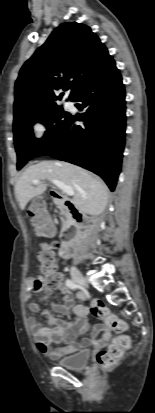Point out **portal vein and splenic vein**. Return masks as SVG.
Instances as JSON below:
<instances>
[{"mask_svg": "<svg viewBox=\"0 0 155 413\" xmlns=\"http://www.w3.org/2000/svg\"><path fill=\"white\" fill-rule=\"evenodd\" d=\"M39 182L38 179L33 180L34 184H37ZM51 182L55 184L63 193L74 196V190L71 186L64 184L63 182L57 180V179H52Z\"/></svg>", "mask_w": 155, "mask_h": 413, "instance_id": "18ae733b", "label": "portal vein and splenic vein"}]
</instances>
